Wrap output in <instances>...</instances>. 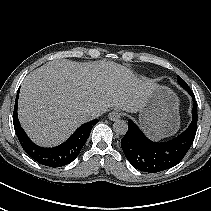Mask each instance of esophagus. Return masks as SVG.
<instances>
[{
    "mask_svg": "<svg viewBox=\"0 0 211 211\" xmlns=\"http://www.w3.org/2000/svg\"><path fill=\"white\" fill-rule=\"evenodd\" d=\"M121 113L119 111H111L108 115L109 119L112 121H116L121 118Z\"/></svg>",
    "mask_w": 211,
    "mask_h": 211,
    "instance_id": "esophagus-1",
    "label": "esophagus"
}]
</instances>
